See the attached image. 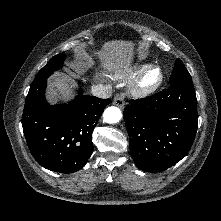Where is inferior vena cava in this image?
I'll return each mask as SVG.
<instances>
[{"instance_id":"inferior-vena-cava-1","label":"inferior vena cava","mask_w":221,"mask_h":221,"mask_svg":"<svg viewBox=\"0 0 221 221\" xmlns=\"http://www.w3.org/2000/svg\"><path fill=\"white\" fill-rule=\"evenodd\" d=\"M91 93L99 98H109L112 95V86L110 84H97L92 86Z\"/></svg>"}]
</instances>
